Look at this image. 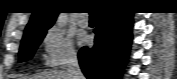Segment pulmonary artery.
Segmentation results:
<instances>
[{
    "label": "pulmonary artery",
    "instance_id": "1",
    "mask_svg": "<svg viewBox=\"0 0 177 79\" xmlns=\"http://www.w3.org/2000/svg\"><path fill=\"white\" fill-rule=\"evenodd\" d=\"M78 23H79V25H80L81 27H87L88 24H89L88 17H87L86 15L81 16V17L79 18Z\"/></svg>",
    "mask_w": 177,
    "mask_h": 79
}]
</instances>
